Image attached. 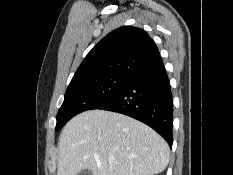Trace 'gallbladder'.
Returning a JSON list of instances; mask_svg holds the SVG:
<instances>
[{"instance_id": "bac80fb5", "label": "gallbladder", "mask_w": 233, "mask_h": 175, "mask_svg": "<svg viewBox=\"0 0 233 175\" xmlns=\"http://www.w3.org/2000/svg\"><path fill=\"white\" fill-rule=\"evenodd\" d=\"M78 175H92V172L88 169L82 170Z\"/></svg>"}]
</instances>
